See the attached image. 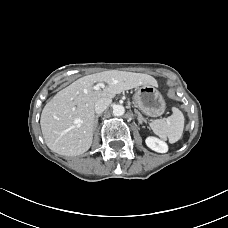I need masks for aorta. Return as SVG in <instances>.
<instances>
[{"label": "aorta", "mask_w": 228, "mask_h": 228, "mask_svg": "<svg viewBox=\"0 0 228 228\" xmlns=\"http://www.w3.org/2000/svg\"><path fill=\"white\" fill-rule=\"evenodd\" d=\"M125 113V108L122 105H115L113 107V115L114 116H122Z\"/></svg>", "instance_id": "1"}]
</instances>
